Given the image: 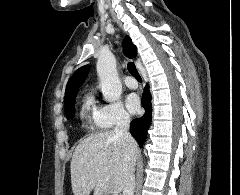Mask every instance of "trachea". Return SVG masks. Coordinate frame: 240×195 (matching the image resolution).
Segmentation results:
<instances>
[{
    "label": "trachea",
    "instance_id": "trachea-1",
    "mask_svg": "<svg viewBox=\"0 0 240 195\" xmlns=\"http://www.w3.org/2000/svg\"><path fill=\"white\" fill-rule=\"evenodd\" d=\"M127 67H128L129 73H131V75H133V77H135L136 80H138V82L141 83L142 82V78L139 75V72H138L135 64L133 62H129Z\"/></svg>",
    "mask_w": 240,
    "mask_h": 195
}]
</instances>
